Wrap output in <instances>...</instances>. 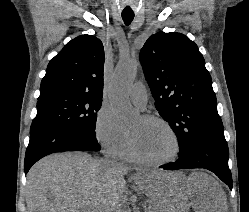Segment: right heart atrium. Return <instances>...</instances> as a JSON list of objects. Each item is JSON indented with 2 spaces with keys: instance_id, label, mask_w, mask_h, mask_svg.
<instances>
[{
  "instance_id": "right-heart-atrium-1",
  "label": "right heart atrium",
  "mask_w": 249,
  "mask_h": 212,
  "mask_svg": "<svg viewBox=\"0 0 249 212\" xmlns=\"http://www.w3.org/2000/svg\"><path fill=\"white\" fill-rule=\"evenodd\" d=\"M93 133L96 142L108 157L121 160L126 156L127 137L109 105L103 104L98 109L94 119Z\"/></svg>"
}]
</instances>
